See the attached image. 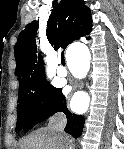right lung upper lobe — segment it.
I'll use <instances>...</instances> for the list:
<instances>
[{"label":"right lung upper lobe","mask_w":124,"mask_h":149,"mask_svg":"<svg viewBox=\"0 0 124 149\" xmlns=\"http://www.w3.org/2000/svg\"><path fill=\"white\" fill-rule=\"evenodd\" d=\"M53 10L47 22L46 35L55 50L65 49L80 37L89 35L92 29L90 9L84 0H57L53 2ZM38 21L29 23L19 34L15 44L16 71L19 87L35 86L46 81L42 56H37L35 42ZM87 40L90 37H86Z\"/></svg>","instance_id":"1"}]
</instances>
